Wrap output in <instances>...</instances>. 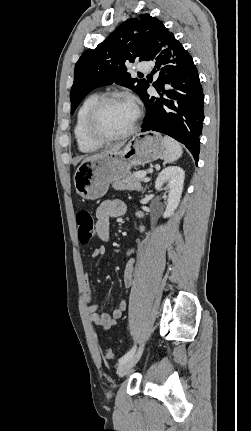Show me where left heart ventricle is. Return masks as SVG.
<instances>
[{"label": "left heart ventricle", "mask_w": 251, "mask_h": 431, "mask_svg": "<svg viewBox=\"0 0 251 431\" xmlns=\"http://www.w3.org/2000/svg\"><path fill=\"white\" fill-rule=\"evenodd\" d=\"M136 116L135 106L129 101H113L101 110L97 129L105 135H117L128 130Z\"/></svg>", "instance_id": "obj_1"}]
</instances>
